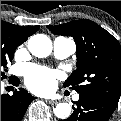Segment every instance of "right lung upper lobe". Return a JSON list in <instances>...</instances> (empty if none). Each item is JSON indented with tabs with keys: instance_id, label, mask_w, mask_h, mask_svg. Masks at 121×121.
<instances>
[{
	"instance_id": "right-lung-upper-lobe-1",
	"label": "right lung upper lobe",
	"mask_w": 121,
	"mask_h": 121,
	"mask_svg": "<svg viewBox=\"0 0 121 121\" xmlns=\"http://www.w3.org/2000/svg\"><path fill=\"white\" fill-rule=\"evenodd\" d=\"M3 22H5V21H3ZM5 23L9 24L22 38L25 39V41L27 40V38L29 36L33 35L39 29V26L22 27V26L8 23V22H5Z\"/></svg>"
}]
</instances>
